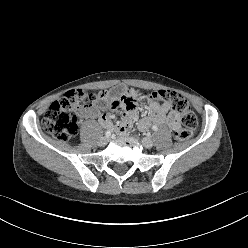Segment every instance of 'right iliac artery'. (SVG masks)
I'll use <instances>...</instances> for the list:
<instances>
[{"mask_svg": "<svg viewBox=\"0 0 248 248\" xmlns=\"http://www.w3.org/2000/svg\"><path fill=\"white\" fill-rule=\"evenodd\" d=\"M105 135H106V137H109L111 135V132L110 131H106Z\"/></svg>", "mask_w": 248, "mask_h": 248, "instance_id": "1", "label": "right iliac artery"}]
</instances>
